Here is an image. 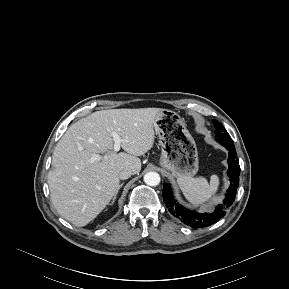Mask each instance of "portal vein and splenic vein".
Returning <instances> with one entry per match:
<instances>
[{
	"label": "portal vein and splenic vein",
	"mask_w": 289,
	"mask_h": 289,
	"mask_svg": "<svg viewBox=\"0 0 289 289\" xmlns=\"http://www.w3.org/2000/svg\"><path fill=\"white\" fill-rule=\"evenodd\" d=\"M112 137H113V140H114V148L113 149H114L115 152H118L120 150L121 143L124 142V141L127 142V140L126 139H122L118 135V133H116V132H112ZM100 159H101L100 155H94L92 157V161H96V160H100Z\"/></svg>",
	"instance_id": "18ae733b"
}]
</instances>
